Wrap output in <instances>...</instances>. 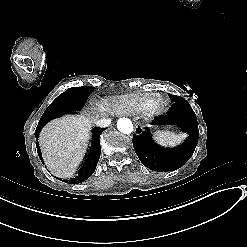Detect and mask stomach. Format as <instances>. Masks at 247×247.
<instances>
[{"label":"stomach","instance_id":"1","mask_svg":"<svg viewBox=\"0 0 247 247\" xmlns=\"http://www.w3.org/2000/svg\"><path fill=\"white\" fill-rule=\"evenodd\" d=\"M167 115L168 114L159 115V116L155 117L151 122V126L154 127V128H157V129H160V128H170V129H172L173 126H162L161 125L162 122H165Z\"/></svg>","mask_w":247,"mask_h":247}]
</instances>
